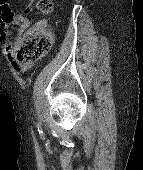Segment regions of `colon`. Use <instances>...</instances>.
<instances>
[{
    "label": "colon",
    "mask_w": 143,
    "mask_h": 170,
    "mask_svg": "<svg viewBox=\"0 0 143 170\" xmlns=\"http://www.w3.org/2000/svg\"><path fill=\"white\" fill-rule=\"evenodd\" d=\"M37 7L44 14H49L53 10L51 0H38ZM14 16L9 0H0L1 20L10 22ZM52 43L51 30L44 21H39L24 31L17 49V58L22 63L38 60L48 53Z\"/></svg>",
    "instance_id": "obj_1"
}]
</instances>
